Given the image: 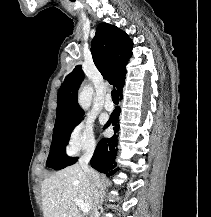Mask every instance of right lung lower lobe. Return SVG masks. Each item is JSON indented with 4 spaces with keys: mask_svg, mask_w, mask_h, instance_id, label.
<instances>
[{
    "mask_svg": "<svg viewBox=\"0 0 211 217\" xmlns=\"http://www.w3.org/2000/svg\"><path fill=\"white\" fill-rule=\"evenodd\" d=\"M120 97L122 98V89L119 91ZM120 114V110H114L111 114L110 120L105 125V128L108 127L110 124L114 126L115 133L118 131V117ZM117 137L116 135L112 136L111 138H103L97 145V148L94 152V155L91 159V166L98 170L101 173L106 174L108 177L113 175L117 169L115 156L117 153Z\"/></svg>",
    "mask_w": 211,
    "mask_h": 217,
    "instance_id": "obj_1",
    "label": "right lung lower lobe"
}]
</instances>
